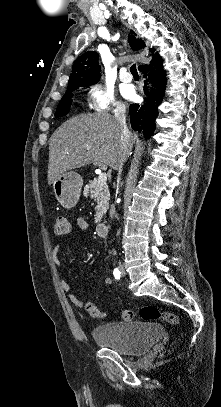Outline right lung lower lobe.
I'll return each instance as SVG.
<instances>
[{
	"instance_id": "98d812e1",
	"label": "right lung lower lobe",
	"mask_w": 221,
	"mask_h": 407,
	"mask_svg": "<svg viewBox=\"0 0 221 407\" xmlns=\"http://www.w3.org/2000/svg\"><path fill=\"white\" fill-rule=\"evenodd\" d=\"M139 71L145 74L144 77L148 75L149 78L145 80V83L150 80L152 87L144 105H130V122L134 130L142 129L145 136L149 138L153 135L156 127L157 108L164 97L167 80L162 67V60L158 53L154 55L150 65L140 66ZM144 90L147 93L146 86H144Z\"/></svg>"
}]
</instances>
